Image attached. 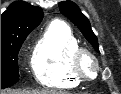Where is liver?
Listing matches in <instances>:
<instances>
[{
  "label": "liver",
  "mask_w": 121,
  "mask_h": 94,
  "mask_svg": "<svg viewBox=\"0 0 121 94\" xmlns=\"http://www.w3.org/2000/svg\"><path fill=\"white\" fill-rule=\"evenodd\" d=\"M1 94H63V93L53 90H41V91L1 90Z\"/></svg>",
  "instance_id": "liver-1"
}]
</instances>
